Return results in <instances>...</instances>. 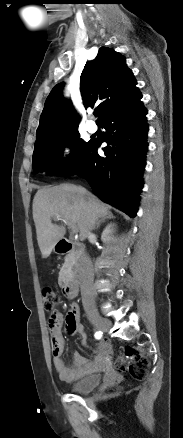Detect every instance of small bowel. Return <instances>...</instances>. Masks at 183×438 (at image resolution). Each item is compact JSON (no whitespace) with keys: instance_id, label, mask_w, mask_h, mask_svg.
I'll use <instances>...</instances> for the list:
<instances>
[{"instance_id":"1","label":"small bowel","mask_w":183,"mask_h":438,"mask_svg":"<svg viewBox=\"0 0 183 438\" xmlns=\"http://www.w3.org/2000/svg\"><path fill=\"white\" fill-rule=\"evenodd\" d=\"M64 322L66 323L67 330L70 333H78L81 337L82 344L86 345L87 336L80 322V309L76 303L71 305L65 318L61 313H53L49 319L53 366L62 381L71 382L86 374L100 370L103 367V361L100 355H97L94 361H89L79 353H75L73 363L67 365L62 359L65 350V341L62 335V325ZM70 329H72V331H70ZM107 347L108 345L106 343L102 345L103 349H107Z\"/></svg>"}]
</instances>
